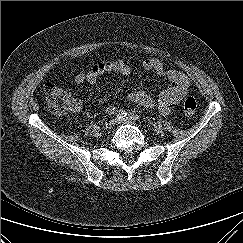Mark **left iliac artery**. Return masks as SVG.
I'll list each match as a JSON object with an SVG mask.
<instances>
[{"mask_svg": "<svg viewBox=\"0 0 243 243\" xmlns=\"http://www.w3.org/2000/svg\"><path fill=\"white\" fill-rule=\"evenodd\" d=\"M129 117L133 120L139 119V116L135 112H130Z\"/></svg>", "mask_w": 243, "mask_h": 243, "instance_id": "obj_1", "label": "left iliac artery"}]
</instances>
